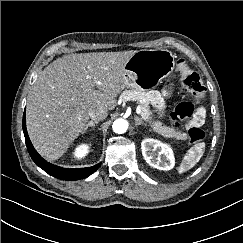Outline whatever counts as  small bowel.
Here are the masks:
<instances>
[{"label":"small bowel","mask_w":243,"mask_h":243,"mask_svg":"<svg viewBox=\"0 0 243 243\" xmlns=\"http://www.w3.org/2000/svg\"><path fill=\"white\" fill-rule=\"evenodd\" d=\"M168 94H169L168 90L163 91L164 96H167ZM149 100L152 102L153 105H155L158 108H161L162 105H163L162 95L157 93V92L151 93L149 95ZM204 119H205V110L203 108H199L195 117L190 122V127L202 125L203 122H204ZM155 127H156L157 131L164 136L174 137V138H177V139H185L186 138V135L184 133L176 132L172 128H169V127L163 125L160 122H157L155 124Z\"/></svg>","instance_id":"small-bowel-1"}]
</instances>
